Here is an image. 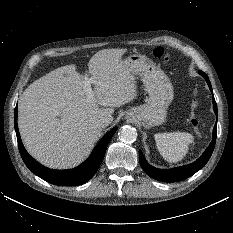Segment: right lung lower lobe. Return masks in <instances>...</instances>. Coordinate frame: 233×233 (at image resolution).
Segmentation results:
<instances>
[{"instance_id": "98d812e1", "label": "right lung lower lobe", "mask_w": 233, "mask_h": 233, "mask_svg": "<svg viewBox=\"0 0 233 233\" xmlns=\"http://www.w3.org/2000/svg\"><path fill=\"white\" fill-rule=\"evenodd\" d=\"M17 116H18V110L16 106L14 112V117H15L14 126L17 135L19 151L24 163L34 174H36L43 180L51 184L61 185V186H76V185L84 184L87 181H89L98 170L100 164L102 163L107 145L117 130V128L115 127L109 133H107L94 148L89 158L85 162H83L80 166L69 170H52L39 164L25 150L18 130Z\"/></svg>"}]
</instances>
